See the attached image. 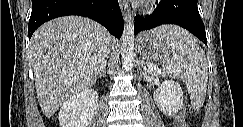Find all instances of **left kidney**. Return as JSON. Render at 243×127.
Returning <instances> with one entry per match:
<instances>
[{"mask_svg":"<svg viewBox=\"0 0 243 127\" xmlns=\"http://www.w3.org/2000/svg\"><path fill=\"white\" fill-rule=\"evenodd\" d=\"M153 97L159 110L168 117L176 115L183 105V91L173 80H165L154 92Z\"/></svg>","mask_w":243,"mask_h":127,"instance_id":"left-kidney-1","label":"left kidney"}]
</instances>
